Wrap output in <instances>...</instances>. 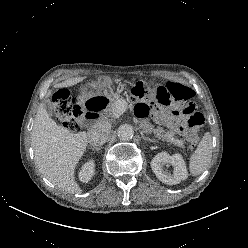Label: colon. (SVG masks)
Listing matches in <instances>:
<instances>
[{"instance_id":"obj_1","label":"colon","mask_w":248,"mask_h":248,"mask_svg":"<svg viewBox=\"0 0 248 248\" xmlns=\"http://www.w3.org/2000/svg\"><path fill=\"white\" fill-rule=\"evenodd\" d=\"M131 96L141 103L159 104L162 106L178 105V111L188 117V142L191 149L198 144L196 130L204 124V117L197 112L191 101L193 90L176 82H168L166 86L149 88L139 82L130 90ZM57 119L69 130L75 131L83 117L84 108L66 90H58L52 96Z\"/></svg>"}]
</instances>
